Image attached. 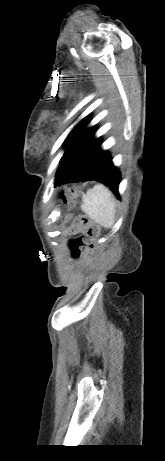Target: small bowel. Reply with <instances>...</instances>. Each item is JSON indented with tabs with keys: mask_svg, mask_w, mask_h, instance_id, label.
Returning a JSON list of instances; mask_svg holds the SVG:
<instances>
[{
	"mask_svg": "<svg viewBox=\"0 0 165 461\" xmlns=\"http://www.w3.org/2000/svg\"><path fill=\"white\" fill-rule=\"evenodd\" d=\"M75 228H80V225L75 224ZM92 235L91 229H84L83 234H71L70 238H67L65 245H63V252L66 254L67 263H79L80 256H85L86 249L82 248L83 242H88L89 237Z\"/></svg>",
	"mask_w": 165,
	"mask_h": 461,
	"instance_id": "obj_1",
	"label": "small bowel"
}]
</instances>
